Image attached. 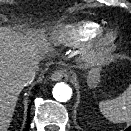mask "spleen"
Returning <instances> with one entry per match:
<instances>
[{
	"label": "spleen",
	"mask_w": 131,
	"mask_h": 131,
	"mask_svg": "<svg viewBox=\"0 0 131 131\" xmlns=\"http://www.w3.org/2000/svg\"><path fill=\"white\" fill-rule=\"evenodd\" d=\"M99 109L108 120L114 123L131 121V84L117 98L101 101Z\"/></svg>",
	"instance_id": "obj_1"
}]
</instances>
